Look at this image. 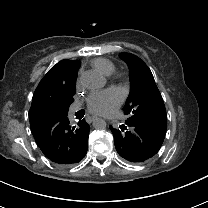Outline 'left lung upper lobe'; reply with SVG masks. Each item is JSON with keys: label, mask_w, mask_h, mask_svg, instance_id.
I'll return each instance as SVG.
<instances>
[{"label": "left lung upper lobe", "mask_w": 208, "mask_h": 208, "mask_svg": "<svg viewBox=\"0 0 208 208\" xmlns=\"http://www.w3.org/2000/svg\"><path fill=\"white\" fill-rule=\"evenodd\" d=\"M130 69V94L123 108L130 120L166 132V109L148 66L136 55L121 53Z\"/></svg>", "instance_id": "1"}]
</instances>
